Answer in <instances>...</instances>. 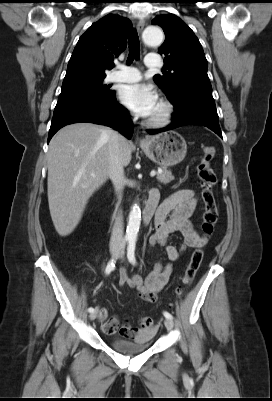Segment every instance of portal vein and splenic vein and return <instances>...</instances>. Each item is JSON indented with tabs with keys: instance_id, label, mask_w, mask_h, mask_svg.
I'll list each match as a JSON object with an SVG mask.
<instances>
[{
	"instance_id": "18ae733b",
	"label": "portal vein and splenic vein",
	"mask_w": 272,
	"mask_h": 401,
	"mask_svg": "<svg viewBox=\"0 0 272 401\" xmlns=\"http://www.w3.org/2000/svg\"><path fill=\"white\" fill-rule=\"evenodd\" d=\"M155 175H156V172L155 171H151L150 176L154 177Z\"/></svg>"
}]
</instances>
